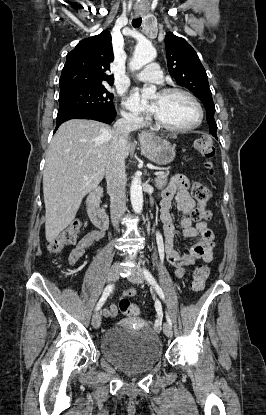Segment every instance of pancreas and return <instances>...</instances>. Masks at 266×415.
Masks as SVG:
<instances>
[{
  "mask_svg": "<svg viewBox=\"0 0 266 415\" xmlns=\"http://www.w3.org/2000/svg\"><path fill=\"white\" fill-rule=\"evenodd\" d=\"M168 181V174L163 173L160 175H157V177L154 180V184L157 188H163Z\"/></svg>",
  "mask_w": 266,
  "mask_h": 415,
  "instance_id": "obj_1",
  "label": "pancreas"
}]
</instances>
